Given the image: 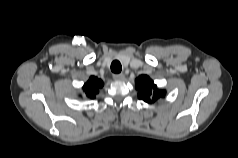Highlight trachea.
Segmentation results:
<instances>
[{
	"label": "trachea",
	"mask_w": 238,
	"mask_h": 158,
	"mask_svg": "<svg viewBox=\"0 0 238 158\" xmlns=\"http://www.w3.org/2000/svg\"><path fill=\"white\" fill-rule=\"evenodd\" d=\"M122 70L121 63L118 60H115L111 64V71L113 73H120Z\"/></svg>",
	"instance_id": "3493384b"
}]
</instances>
